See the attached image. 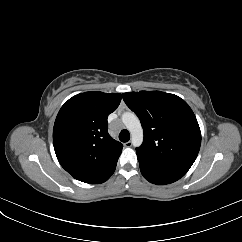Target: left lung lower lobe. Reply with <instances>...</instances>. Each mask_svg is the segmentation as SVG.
<instances>
[{
    "instance_id": "left-lung-lower-lobe-1",
    "label": "left lung lower lobe",
    "mask_w": 242,
    "mask_h": 242,
    "mask_svg": "<svg viewBox=\"0 0 242 242\" xmlns=\"http://www.w3.org/2000/svg\"><path fill=\"white\" fill-rule=\"evenodd\" d=\"M142 175L151 183L165 185L173 183L185 175L184 172L151 164L138 156Z\"/></svg>"
}]
</instances>
